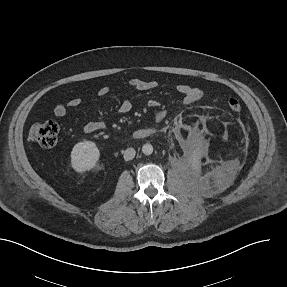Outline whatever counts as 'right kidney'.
<instances>
[{"label": "right kidney", "mask_w": 287, "mask_h": 287, "mask_svg": "<svg viewBox=\"0 0 287 287\" xmlns=\"http://www.w3.org/2000/svg\"><path fill=\"white\" fill-rule=\"evenodd\" d=\"M100 157L96 144L82 141L74 145L71 151V166L76 172H85L96 166Z\"/></svg>", "instance_id": "ca27d5eb"}]
</instances>
